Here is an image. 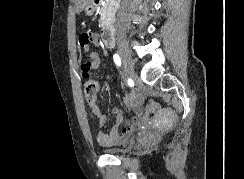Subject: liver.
I'll return each mask as SVG.
<instances>
[{
	"label": "liver",
	"instance_id": "liver-1",
	"mask_svg": "<svg viewBox=\"0 0 244 179\" xmlns=\"http://www.w3.org/2000/svg\"><path fill=\"white\" fill-rule=\"evenodd\" d=\"M91 2H93V0H75V10L77 14L82 12L83 8H85L87 4H91Z\"/></svg>",
	"mask_w": 244,
	"mask_h": 179
}]
</instances>
